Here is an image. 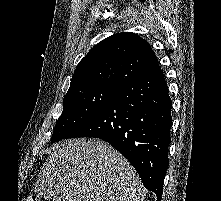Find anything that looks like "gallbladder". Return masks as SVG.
Segmentation results:
<instances>
[{
  "instance_id": "obj_1",
  "label": "gallbladder",
  "mask_w": 221,
  "mask_h": 201,
  "mask_svg": "<svg viewBox=\"0 0 221 201\" xmlns=\"http://www.w3.org/2000/svg\"><path fill=\"white\" fill-rule=\"evenodd\" d=\"M39 197L42 199V201H47L49 199V196L47 194H44V193L40 194Z\"/></svg>"
}]
</instances>
